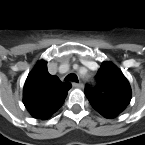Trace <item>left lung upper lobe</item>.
<instances>
[{
	"label": "left lung upper lobe",
	"instance_id": "obj_1",
	"mask_svg": "<svg viewBox=\"0 0 145 145\" xmlns=\"http://www.w3.org/2000/svg\"><path fill=\"white\" fill-rule=\"evenodd\" d=\"M97 85L86 86L85 95L92 107L105 118L117 117L131 101V87L122 71L110 62L98 70Z\"/></svg>",
	"mask_w": 145,
	"mask_h": 145
}]
</instances>
